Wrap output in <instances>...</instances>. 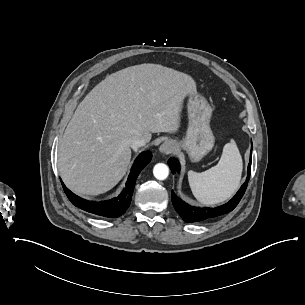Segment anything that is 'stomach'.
I'll return each mask as SVG.
<instances>
[{
  "mask_svg": "<svg viewBox=\"0 0 305 305\" xmlns=\"http://www.w3.org/2000/svg\"><path fill=\"white\" fill-rule=\"evenodd\" d=\"M189 125L186 137L176 142V149H184L192 162L200 161L210 152L215 143V137L210 128L212 107L207 100L199 94H189L188 104Z\"/></svg>",
  "mask_w": 305,
  "mask_h": 305,
  "instance_id": "1",
  "label": "stomach"
}]
</instances>
